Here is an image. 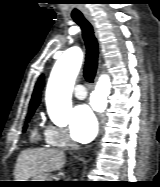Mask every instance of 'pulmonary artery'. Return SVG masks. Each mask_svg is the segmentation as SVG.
Segmentation results:
<instances>
[{
	"mask_svg": "<svg viewBox=\"0 0 160 187\" xmlns=\"http://www.w3.org/2000/svg\"><path fill=\"white\" fill-rule=\"evenodd\" d=\"M74 95L77 99H80V100L85 99L87 96V93H86L84 85L82 84L76 85L74 88Z\"/></svg>",
	"mask_w": 160,
	"mask_h": 187,
	"instance_id": "e3ab8cb5",
	"label": "pulmonary artery"
}]
</instances>
